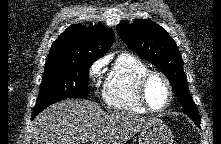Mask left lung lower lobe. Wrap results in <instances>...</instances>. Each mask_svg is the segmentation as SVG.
Instances as JSON below:
<instances>
[{
	"mask_svg": "<svg viewBox=\"0 0 221 144\" xmlns=\"http://www.w3.org/2000/svg\"><path fill=\"white\" fill-rule=\"evenodd\" d=\"M197 126H200V121H194Z\"/></svg>",
	"mask_w": 221,
	"mask_h": 144,
	"instance_id": "obj_1",
	"label": "left lung lower lobe"
}]
</instances>
